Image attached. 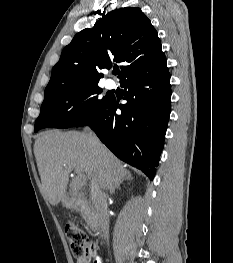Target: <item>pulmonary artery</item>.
<instances>
[{
    "instance_id": "obj_1",
    "label": "pulmonary artery",
    "mask_w": 233,
    "mask_h": 263,
    "mask_svg": "<svg viewBox=\"0 0 233 263\" xmlns=\"http://www.w3.org/2000/svg\"><path fill=\"white\" fill-rule=\"evenodd\" d=\"M105 84H106V87L109 88V89H112V88L115 87V83L111 79H108Z\"/></svg>"
}]
</instances>
